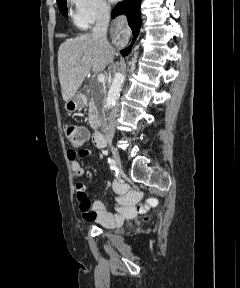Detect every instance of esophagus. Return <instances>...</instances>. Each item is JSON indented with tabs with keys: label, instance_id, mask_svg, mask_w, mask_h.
<instances>
[{
	"label": "esophagus",
	"instance_id": "1",
	"mask_svg": "<svg viewBox=\"0 0 240 288\" xmlns=\"http://www.w3.org/2000/svg\"><path fill=\"white\" fill-rule=\"evenodd\" d=\"M123 21H124V17L121 16L117 19V21L115 22V25L120 26L123 23Z\"/></svg>",
	"mask_w": 240,
	"mask_h": 288
}]
</instances>
